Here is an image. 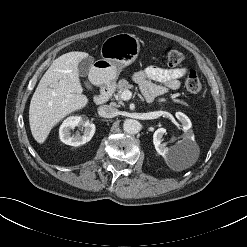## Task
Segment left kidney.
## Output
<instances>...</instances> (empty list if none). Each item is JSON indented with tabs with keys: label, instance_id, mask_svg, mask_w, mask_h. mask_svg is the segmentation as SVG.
Returning <instances> with one entry per match:
<instances>
[{
	"label": "left kidney",
	"instance_id": "1",
	"mask_svg": "<svg viewBox=\"0 0 247 247\" xmlns=\"http://www.w3.org/2000/svg\"><path fill=\"white\" fill-rule=\"evenodd\" d=\"M176 118L181 122L182 129L184 131L183 139L178 141L177 144L171 148L166 147L165 143H162V138L166 129L159 128L153 134V144L159 155L168 158L172 155L180 152L183 149H190L196 147L193 131L191 130L192 123L190 119L183 113L177 112Z\"/></svg>",
	"mask_w": 247,
	"mask_h": 247
}]
</instances>
